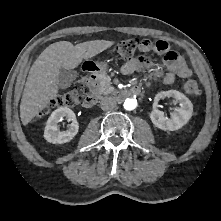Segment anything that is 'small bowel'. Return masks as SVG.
I'll use <instances>...</instances> for the list:
<instances>
[{"mask_svg": "<svg viewBox=\"0 0 221 221\" xmlns=\"http://www.w3.org/2000/svg\"><path fill=\"white\" fill-rule=\"evenodd\" d=\"M152 49L155 50L157 56H164L165 72L161 66L153 64L147 58L141 56L126 61L121 67L122 73L129 75L136 71L151 70L155 75L161 76L165 84H172L176 76L185 79L192 75V71L185 60L178 53L170 51L167 42L158 41L153 44L149 40H143L140 51L148 52Z\"/></svg>", "mask_w": 221, "mask_h": 221, "instance_id": "small-bowel-1", "label": "small bowel"}]
</instances>
